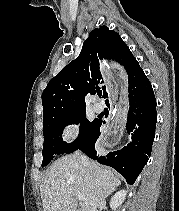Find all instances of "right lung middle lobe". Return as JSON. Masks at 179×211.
<instances>
[{
	"mask_svg": "<svg viewBox=\"0 0 179 211\" xmlns=\"http://www.w3.org/2000/svg\"><path fill=\"white\" fill-rule=\"evenodd\" d=\"M98 120L88 121L85 110L57 116L43 126L44 144L42 167L48 165L54 155L72 153L77 150L92 134ZM80 123L79 136L68 144L63 141L61 135L65 126Z\"/></svg>",
	"mask_w": 179,
	"mask_h": 211,
	"instance_id": "1",
	"label": "right lung middle lobe"
}]
</instances>
